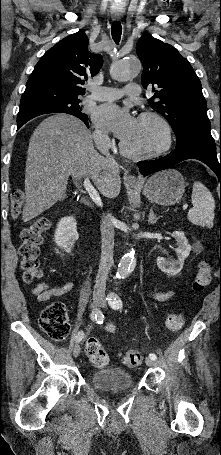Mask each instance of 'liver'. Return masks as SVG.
I'll return each instance as SVG.
<instances>
[{
	"label": "liver",
	"instance_id": "liver-1",
	"mask_svg": "<svg viewBox=\"0 0 221 455\" xmlns=\"http://www.w3.org/2000/svg\"><path fill=\"white\" fill-rule=\"evenodd\" d=\"M120 167L100 155L84 123L68 114H55L34 130L25 169L24 222L36 218L67 197L68 179L89 177L108 198L121 190Z\"/></svg>",
	"mask_w": 221,
	"mask_h": 455
}]
</instances>
